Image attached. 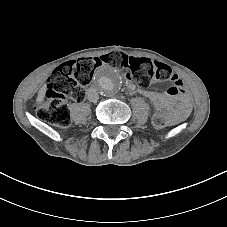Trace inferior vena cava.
<instances>
[{
    "label": "inferior vena cava",
    "instance_id": "inferior-vena-cava-1",
    "mask_svg": "<svg viewBox=\"0 0 227 227\" xmlns=\"http://www.w3.org/2000/svg\"><path fill=\"white\" fill-rule=\"evenodd\" d=\"M87 98L90 102H96L99 99V93L96 88H89Z\"/></svg>",
    "mask_w": 227,
    "mask_h": 227
}]
</instances>
